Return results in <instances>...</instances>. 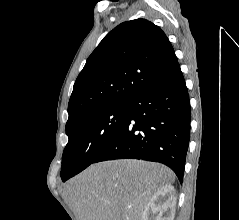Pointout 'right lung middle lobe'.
I'll list each match as a JSON object with an SVG mask.
<instances>
[{
	"label": "right lung middle lobe",
	"instance_id": "1",
	"mask_svg": "<svg viewBox=\"0 0 239 220\" xmlns=\"http://www.w3.org/2000/svg\"><path fill=\"white\" fill-rule=\"evenodd\" d=\"M126 116L127 103H123L90 112L66 126L69 141L62 156V181L93 163Z\"/></svg>",
	"mask_w": 239,
	"mask_h": 220
}]
</instances>
